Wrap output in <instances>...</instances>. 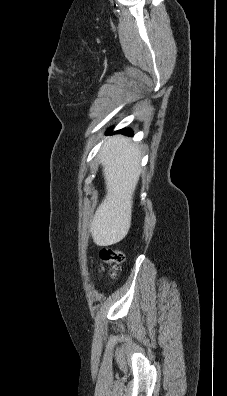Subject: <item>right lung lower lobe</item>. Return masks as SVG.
<instances>
[{"label":"right lung lower lobe","mask_w":227,"mask_h":396,"mask_svg":"<svg viewBox=\"0 0 227 396\" xmlns=\"http://www.w3.org/2000/svg\"><path fill=\"white\" fill-rule=\"evenodd\" d=\"M118 132L122 133V134H125V135H129V136L133 135L132 131L130 129H126V128L122 129V130H120ZM108 133H110V130L108 131Z\"/></svg>","instance_id":"98d812e1"}]
</instances>
